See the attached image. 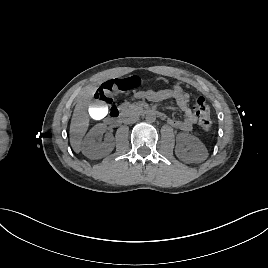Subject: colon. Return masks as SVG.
<instances>
[{
    "label": "colon",
    "instance_id": "1",
    "mask_svg": "<svg viewBox=\"0 0 268 268\" xmlns=\"http://www.w3.org/2000/svg\"><path fill=\"white\" fill-rule=\"evenodd\" d=\"M141 81L137 76L124 79H113L102 84L95 93V99L104 103H111L112 97L118 92H126L137 88ZM194 111L199 117V125L204 131H209L212 126L210 107L204 97H198Z\"/></svg>",
    "mask_w": 268,
    "mask_h": 268
}]
</instances>
